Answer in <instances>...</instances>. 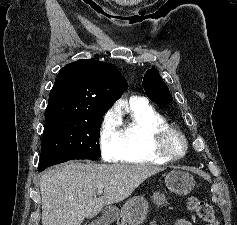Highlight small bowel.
<instances>
[{
    "label": "small bowel",
    "instance_id": "1",
    "mask_svg": "<svg viewBox=\"0 0 237 225\" xmlns=\"http://www.w3.org/2000/svg\"><path fill=\"white\" fill-rule=\"evenodd\" d=\"M175 225H193V222L185 218H180L175 222Z\"/></svg>",
    "mask_w": 237,
    "mask_h": 225
}]
</instances>
